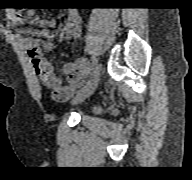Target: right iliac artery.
Returning <instances> with one entry per match:
<instances>
[{"label": "right iliac artery", "mask_w": 192, "mask_h": 180, "mask_svg": "<svg viewBox=\"0 0 192 180\" xmlns=\"http://www.w3.org/2000/svg\"><path fill=\"white\" fill-rule=\"evenodd\" d=\"M89 68L91 70L90 75L92 76L98 69L97 60L95 58H92V62H91V65L89 66Z\"/></svg>", "instance_id": "1"}]
</instances>
